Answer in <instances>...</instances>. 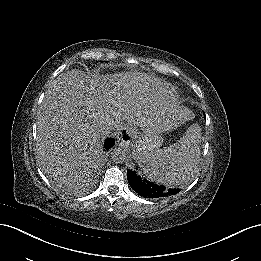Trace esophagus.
<instances>
[{"instance_id":"esophagus-1","label":"esophagus","mask_w":261,"mask_h":261,"mask_svg":"<svg viewBox=\"0 0 261 261\" xmlns=\"http://www.w3.org/2000/svg\"><path fill=\"white\" fill-rule=\"evenodd\" d=\"M133 138V129L131 127H125L119 133L118 139L120 141V145L123 147H128Z\"/></svg>"}]
</instances>
